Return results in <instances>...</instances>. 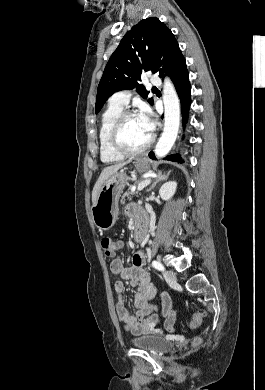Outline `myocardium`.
<instances>
[{"instance_id":"1","label":"myocardium","mask_w":265,"mask_h":390,"mask_svg":"<svg viewBox=\"0 0 265 390\" xmlns=\"http://www.w3.org/2000/svg\"><path fill=\"white\" fill-rule=\"evenodd\" d=\"M132 116H136V114L133 111L130 110L122 111L116 118L110 131L109 138H110V144L112 149L116 153L124 157L137 156L144 153L150 147L153 141V137L150 136L148 141L138 149H129L128 147L125 146V144L122 141V128L125 121Z\"/></svg>"}]
</instances>
